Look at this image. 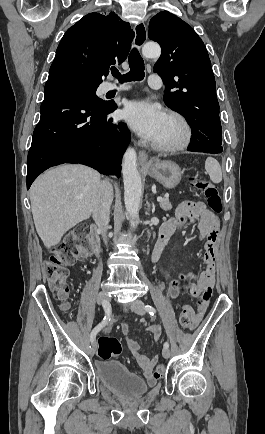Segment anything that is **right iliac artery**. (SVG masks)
Here are the masks:
<instances>
[{"label":"right iliac artery","instance_id":"82829eb1","mask_svg":"<svg viewBox=\"0 0 265 434\" xmlns=\"http://www.w3.org/2000/svg\"><path fill=\"white\" fill-rule=\"evenodd\" d=\"M103 308L105 310V314L106 316L104 317L103 321L101 323H99L91 332L90 334V340L91 342H93L96 338L97 333L106 325V323L108 322V320H110V314H111V306L110 304L107 303H103Z\"/></svg>","mask_w":265,"mask_h":434}]
</instances>
